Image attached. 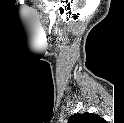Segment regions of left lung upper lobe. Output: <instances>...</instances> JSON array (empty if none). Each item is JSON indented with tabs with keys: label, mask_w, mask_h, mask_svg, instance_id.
<instances>
[{
	"label": "left lung upper lobe",
	"mask_w": 124,
	"mask_h": 123,
	"mask_svg": "<svg viewBox=\"0 0 124 123\" xmlns=\"http://www.w3.org/2000/svg\"><path fill=\"white\" fill-rule=\"evenodd\" d=\"M100 117L94 113H77L70 117L68 123H96Z\"/></svg>",
	"instance_id": "5c2ea615"
}]
</instances>
